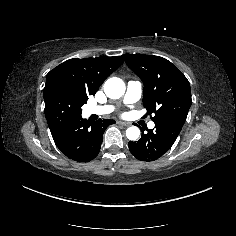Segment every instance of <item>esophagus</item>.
Instances as JSON below:
<instances>
[{
    "mask_svg": "<svg viewBox=\"0 0 236 236\" xmlns=\"http://www.w3.org/2000/svg\"><path fill=\"white\" fill-rule=\"evenodd\" d=\"M117 124L123 125V126H130L131 125L130 122H124V121H117Z\"/></svg>",
    "mask_w": 236,
    "mask_h": 236,
    "instance_id": "1",
    "label": "esophagus"
}]
</instances>
